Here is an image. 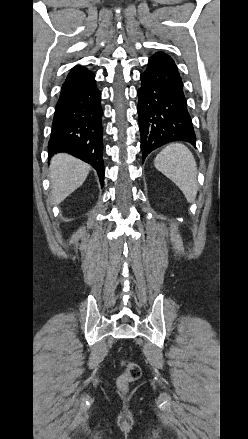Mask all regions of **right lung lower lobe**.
I'll use <instances>...</instances> for the list:
<instances>
[{
	"mask_svg": "<svg viewBox=\"0 0 248 439\" xmlns=\"http://www.w3.org/2000/svg\"><path fill=\"white\" fill-rule=\"evenodd\" d=\"M94 78L84 67L68 74L55 107L48 149L50 157L67 152L92 165L103 186L101 93Z\"/></svg>",
	"mask_w": 248,
	"mask_h": 439,
	"instance_id": "right-lung-lower-lobe-1",
	"label": "right lung lower lobe"
}]
</instances>
